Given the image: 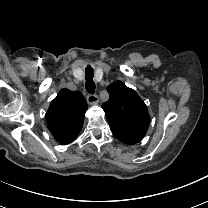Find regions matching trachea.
Listing matches in <instances>:
<instances>
[{"label": "trachea", "mask_w": 208, "mask_h": 208, "mask_svg": "<svg viewBox=\"0 0 208 208\" xmlns=\"http://www.w3.org/2000/svg\"><path fill=\"white\" fill-rule=\"evenodd\" d=\"M85 79H86V90L89 93H94L95 92V83L93 82V77H94V70L93 68L88 65L85 69Z\"/></svg>", "instance_id": "trachea-1"}]
</instances>
